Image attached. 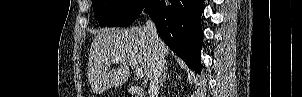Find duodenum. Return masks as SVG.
<instances>
[{
	"label": "duodenum",
	"instance_id": "obj_1",
	"mask_svg": "<svg viewBox=\"0 0 302 97\" xmlns=\"http://www.w3.org/2000/svg\"><path fill=\"white\" fill-rule=\"evenodd\" d=\"M129 91L133 97H145L143 88L139 86H132L129 88Z\"/></svg>",
	"mask_w": 302,
	"mask_h": 97
}]
</instances>
